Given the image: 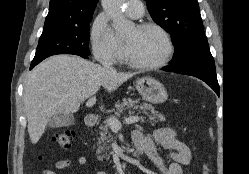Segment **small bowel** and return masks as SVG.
Segmentation results:
<instances>
[{"label": "small bowel", "mask_w": 249, "mask_h": 174, "mask_svg": "<svg viewBox=\"0 0 249 174\" xmlns=\"http://www.w3.org/2000/svg\"><path fill=\"white\" fill-rule=\"evenodd\" d=\"M132 137L135 144H144V154L155 167V174H184L183 168L192 163L190 148L178 138L176 131L171 128L155 130L153 138L135 130ZM155 143L169 150L168 156L171 161L168 164H165L163 158L159 155ZM77 163L86 165L88 159L85 156H79ZM72 164L71 160H59L55 163V169L64 170L71 167ZM56 170L46 169L43 174H59ZM95 174H107V172L98 171Z\"/></svg>", "instance_id": "c3829d8e"}]
</instances>
